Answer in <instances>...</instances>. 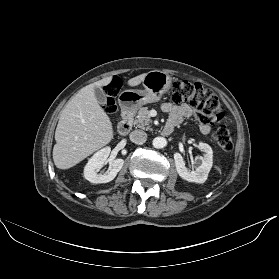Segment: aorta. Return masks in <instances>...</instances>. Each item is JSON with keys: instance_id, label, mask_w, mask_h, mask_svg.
I'll use <instances>...</instances> for the list:
<instances>
[{"instance_id": "762f6f07", "label": "aorta", "mask_w": 279, "mask_h": 279, "mask_svg": "<svg viewBox=\"0 0 279 279\" xmlns=\"http://www.w3.org/2000/svg\"><path fill=\"white\" fill-rule=\"evenodd\" d=\"M152 144L155 148L161 149L167 145V140L164 137H156L153 139Z\"/></svg>"}]
</instances>
